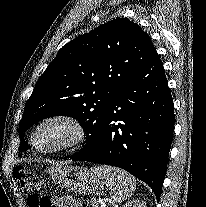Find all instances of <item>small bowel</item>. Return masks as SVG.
Here are the masks:
<instances>
[{
    "label": "small bowel",
    "instance_id": "1",
    "mask_svg": "<svg viewBox=\"0 0 206 207\" xmlns=\"http://www.w3.org/2000/svg\"><path fill=\"white\" fill-rule=\"evenodd\" d=\"M52 203L53 207H82L77 200L70 197H54Z\"/></svg>",
    "mask_w": 206,
    "mask_h": 207
}]
</instances>
